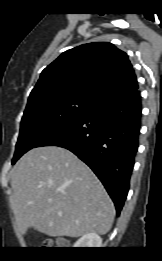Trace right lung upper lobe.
<instances>
[{"mask_svg":"<svg viewBox=\"0 0 162 261\" xmlns=\"http://www.w3.org/2000/svg\"><path fill=\"white\" fill-rule=\"evenodd\" d=\"M136 89V75L127 54L111 43L94 42L70 49L48 65L29 100L78 93L102 102Z\"/></svg>","mask_w":162,"mask_h":261,"instance_id":"1","label":"right lung upper lobe"}]
</instances>
